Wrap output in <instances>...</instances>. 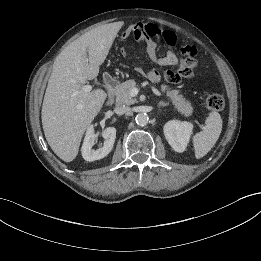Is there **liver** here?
<instances>
[{"mask_svg": "<svg viewBox=\"0 0 261 261\" xmlns=\"http://www.w3.org/2000/svg\"><path fill=\"white\" fill-rule=\"evenodd\" d=\"M120 26L116 23L83 34L57 56L44 95L41 118L46 140L63 161H73L86 129L107 98L102 89L84 92L95 79Z\"/></svg>", "mask_w": 261, "mask_h": 261, "instance_id": "6515ba94", "label": "liver"}]
</instances>
